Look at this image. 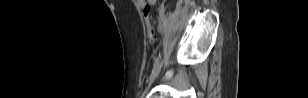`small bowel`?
Segmentation results:
<instances>
[{"label":"small bowel","instance_id":"1","mask_svg":"<svg viewBox=\"0 0 308 98\" xmlns=\"http://www.w3.org/2000/svg\"><path fill=\"white\" fill-rule=\"evenodd\" d=\"M138 5L141 7V8H144L146 6H148V4H153L155 3V0H150V1H145V0H138Z\"/></svg>","mask_w":308,"mask_h":98}]
</instances>
